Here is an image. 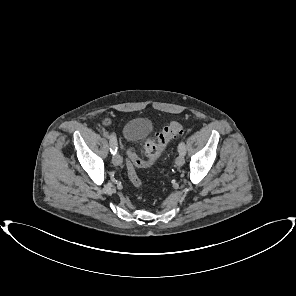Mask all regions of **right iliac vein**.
<instances>
[{"instance_id": "1", "label": "right iliac vein", "mask_w": 296, "mask_h": 296, "mask_svg": "<svg viewBox=\"0 0 296 296\" xmlns=\"http://www.w3.org/2000/svg\"><path fill=\"white\" fill-rule=\"evenodd\" d=\"M112 161L114 165H120L122 162L121 156L118 153L114 154Z\"/></svg>"}]
</instances>
